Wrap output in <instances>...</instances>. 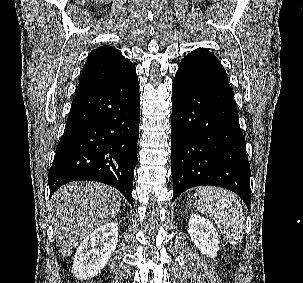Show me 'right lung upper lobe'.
Listing matches in <instances>:
<instances>
[{"instance_id":"right-lung-upper-lobe-1","label":"right lung upper lobe","mask_w":303,"mask_h":283,"mask_svg":"<svg viewBox=\"0 0 303 283\" xmlns=\"http://www.w3.org/2000/svg\"><path fill=\"white\" fill-rule=\"evenodd\" d=\"M135 73L132 62L115 47L94 49L83 66L76 97L111 87Z\"/></svg>"}]
</instances>
